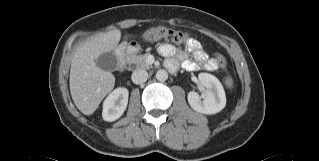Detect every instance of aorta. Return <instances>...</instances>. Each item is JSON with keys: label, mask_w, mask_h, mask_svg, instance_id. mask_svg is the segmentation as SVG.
<instances>
[{"label": "aorta", "mask_w": 319, "mask_h": 161, "mask_svg": "<svg viewBox=\"0 0 319 161\" xmlns=\"http://www.w3.org/2000/svg\"><path fill=\"white\" fill-rule=\"evenodd\" d=\"M156 78L158 81L164 82L168 79V73L164 69H160L156 72Z\"/></svg>", "instance_id": "1"}]
</instances>
